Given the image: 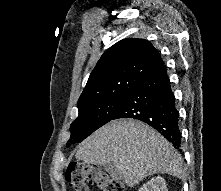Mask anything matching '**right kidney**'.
Segmentation results:
<instances>
[{
    "label": "right kidney",
    "instance_id": "right-kidney-1",
    "mask_svg": "<svg viewBox=\"0 0 221 191\" xmlns=\"http://www.w3.org/2000/svg\"><path fill=\"white\" fill-rule=\"evenodd\" d=\"M138 191H168L165 179L157 176L143 184Z\"/></svg>",
    "mask_w": 221,
    "mask_h": 191
}]
</instances>
